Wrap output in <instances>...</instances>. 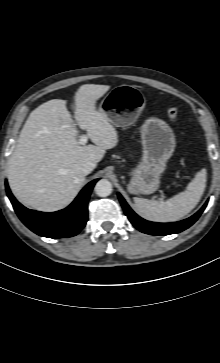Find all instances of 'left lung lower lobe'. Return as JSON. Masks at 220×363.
I'll return each mask as SVG.
<instances>
[{"mask_svg": "<svg viewBox=\"0 0 220 363\" xmlns=\"http://www.w3.org/2000/svg\"><path fill=\"white\" fill-rule=\"evenodd\" d=\"M119 200L122 204V207L125 211L126 216L130 220V222L141 232L150 234V235H169L174 233H179L188 227H190L202 214L205 207L207 206V202L203 205V207L193 216L183 221L175 222V223H154L150 221H146L139 217L133 210L128 206L123 197L118 194Z\"/></svg>", "mask_w": 220, "mask_h": 363, "instance_id": "left-lung-lower-lobe-1", "label": "left lung lower lobe"}]
</instances>
